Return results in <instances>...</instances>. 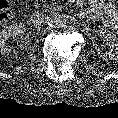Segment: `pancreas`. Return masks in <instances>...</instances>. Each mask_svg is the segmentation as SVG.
<instances>
[{"label": "pancreas", "mask_w": 118, "mask_h": 118, "mask_svg": "<svg viewBox=\"0 0 118 118\" xmlns=\"http://www.w3.org/2000/svg\"><path fill=\"white\" fill-rule=\"evenodd\" d=\"M49 8H51V9H53V10H55L56 8L55 7H53V6H49Z\"/></svg>", "instance_id": "obj_1"}]
</instances>
